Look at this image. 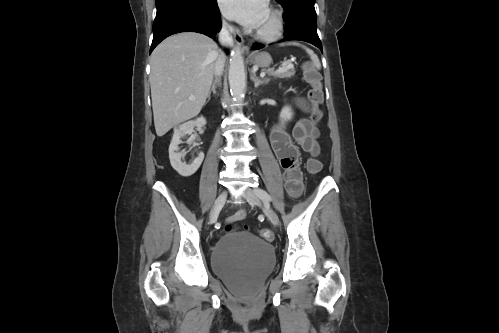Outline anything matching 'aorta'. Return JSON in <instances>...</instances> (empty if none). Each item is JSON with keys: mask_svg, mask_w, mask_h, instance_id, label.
<instances>
[{"mask_svg": "<svg viewBox=\"0 0 499 333\" xmlns=\"http://www.w3.org/2000/svg\"><path fill=\"white\" fill-rule=\"evenodd\" d=\"M246 75L244 59L239 47H235L231 52L229 65V85L232 96L235 100L241 101L244 97L246 85Z\"/></svg>", "mask_w": 499, "mask_h": 333, "instance_id": "762f6f07", "label": "aorta"}]
</instances>
